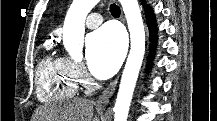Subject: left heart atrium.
Masks as SVG:
<instances>
[{"instance_id":"left-heart-atrium-1","label":"left heart atrium","mask_w":217,"mask_h":121,"mask_svg":"<svg viewBox=\"0 0 217 121\" xmlns=\"http://www.w3.org/2000/svg\"><path fill=\"white\" fill-rule=\"evenodd\" d=\"M126 51L123 31L115 24H107L86 41V57L91 73L100 79L112 76L119 68Z\"/></svg>"}]
</instances>
